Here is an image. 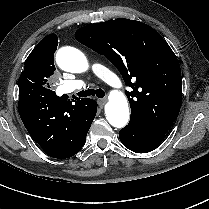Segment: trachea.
<instances>
[{"mask_svg":"<svg viewBox=\"0 0 209 209\" xmlns=\"http://www.w3.org/2000/svg\"><path fill=\"white\" fill-rule=\"evenodd\" d=\"M77 95L79 97L96 96L98 98H103L105 96V92L102 89H88L78 92Z\"/></svg>","mask_w":209,"mask_h":209,"instance_id":"trachea-1","label":"trachea"}]
</instances>
